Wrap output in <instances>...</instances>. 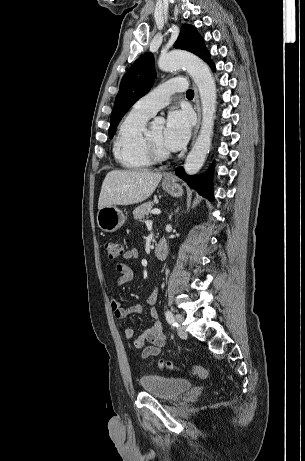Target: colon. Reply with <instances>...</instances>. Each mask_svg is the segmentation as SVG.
Here are the masks:
<instances>
[{"instance_id":"obj_1","label":"colon","mask_w":305,"mask_h":461,"mask_svg":"<svg viewBox=\"0 0 305 461\" xmlns=\"http://www.w3.org/2000/svg\"><path fill=\"white\" fill-rule=\"evenodd\" d=\"M103 249L110 260H117L124 254V245L122 242L114 239H107L103 242ZM160 369L174 370L176 366L169 361L160 360L158 362ZM192 373L198 378H206L207 370L202 365H195L191 369Z\"/></svg>"}]
</instances>
